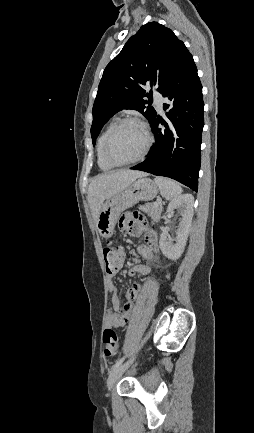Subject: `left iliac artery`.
<instances>
[{
    "label": "left iliac artery",
    "instance_id": "obj_1",
    "mask_svg": "<svg viewBox=\"0 0 254 433\" xmlns=\"http://www.w3.org/2000/svg\"><path fill=\"white\" fill-rule=\"evenodd\" d=\"M125 360V356L121 357L120 359H118L115 364L112 366L111 370H115L120 364H122V362Z\"/></svg>",
    "mask_w": 254,
    "mask_h": 433
}]
</instances>
